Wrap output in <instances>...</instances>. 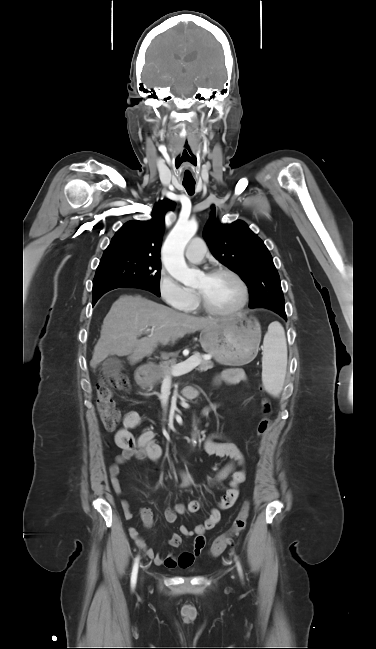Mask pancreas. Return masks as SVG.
<instances>
[{
	"mask_svg": "<svg viewBox=\"0 0 376 649\" xmlns=\"http://www.w3.org/2000/svg\"><path fill=\"white\" fill-rule=\"evenodd\" d=\"M197 356V354H196ZM178 365L175 360H170L167 362H162L159 365L153 367V372L150 377V384H156L162 382L167 376L171 378L170 371L173 366ZM214 364L209 360L200 359V364L198 365L197 370L200 372L207 371L212 369Z\"/></svg>",
	"mask_w": 376,
	"mask_h": 649,
	"instance_id": "cf45deb5",
	"label": "pancreas"
}]
</instances>
